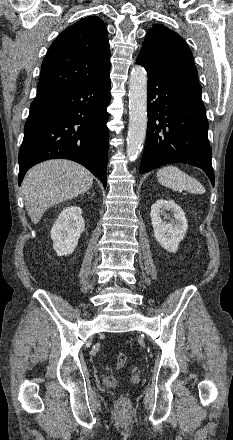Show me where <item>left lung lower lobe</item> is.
Returning a JSON list of instances; mask_svg holds the SVG:
<instances>
[{"label": "left lung lower lobe", "mask_w": 233, "mask_h": 440, "mask_svg": "<svg viewBox=\"0 0 233 440\" xmlns=\"http://www.w3.org/2000/svg\"><path fill=\"white\" fill-rule=\"evenodd\" d=\"M136 62L148 73V125L140 173L165 164L186 163L204 170L214 186L201 86L191 80L158 75L141 60Z\"/></svg>", "instance_id": "left-lung-lower-lobe-1"}]
</instances>
